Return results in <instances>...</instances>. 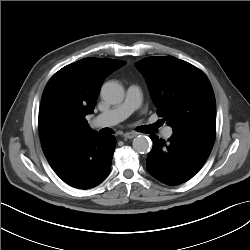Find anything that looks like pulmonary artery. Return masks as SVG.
Here are the masks:
<instances>
[{"label": "pulmonary artery", "mask_w": 250, "mask_h": 250, "mask_svg": "<svg viewBox=\"0 0 250 250\" xmlns=\"http://www.w3.org/2000/svg\"><path fill=\"white\" fill-rule=\"evenodd\" d=\"M141 102L142 90L138 85L132 84L127 89L125 100L121 104L98 114L94 118L93 124L97 127H110L116 125L138 109ZM172 133L173 130L171 127H165L163 129V136L167 139L172 136Z\"/></svg>", "instance_id": "e3ab8cb5"}]
</instances>
